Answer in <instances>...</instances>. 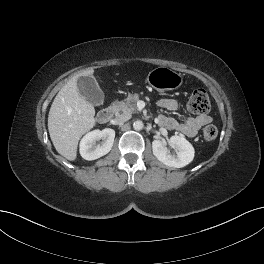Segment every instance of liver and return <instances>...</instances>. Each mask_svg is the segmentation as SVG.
<instances>
[{"mask_svg": "<svg viewBox=\"0 0 264 264\" xmlns=\"http://www.w3.org/2000/svg\"><path fill=\"white\" fill-rule=\"evenodd\" d=\"M93 69L73 76L56 95L48 115V130L57 152L70 161L77 157L78 142L82 135L95 126V109L81 97L77 80L90 76Z\"/></svg>", "mask_w": 264, "mask_h": 264, "instance_id": "1", "label": "liver"}]
</instances>
